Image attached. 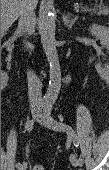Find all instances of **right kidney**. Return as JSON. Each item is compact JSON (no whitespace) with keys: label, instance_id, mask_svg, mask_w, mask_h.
Returning a JSON list of instances; mask_svg holds the SVG:
<instances>
[{"label":"right kidney","instance_id":"obj_1","mask_svg":"<svg viewBox=\"0 0 109 170\" xmlns=\"http://www.w3.org/2000/svg\"><path fill=\"white\" fill-rule=\"evenodd\" d=\"M4 79H5V77H3V82H4ZM8 79V77L6 76V80Z\"/></svg>","mask_w":109,"mask_h":170}]
</instances>
